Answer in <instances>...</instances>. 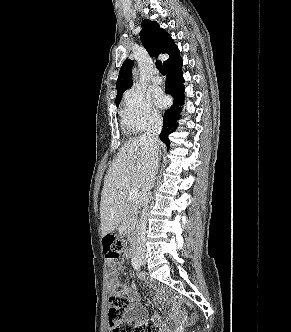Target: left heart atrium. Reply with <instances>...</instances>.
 <instances>
[{"instance_id": "1", "label": "left heart atrium", "mask_w": 291, "mask_h": 332, "mask_svg": "<svg viewBox=\"0 0 291 332\" xmlns=\"http://www.w3.org/2000/svg\"><path fill=\"white\" fill-rule=\"evenodd\" d=\"M151 96L157 106L162 107L165 105V102H166L165 96L163 95V93L160 90H158V89L153 90L151 92Z\"/></svg>"}]
</instances>
